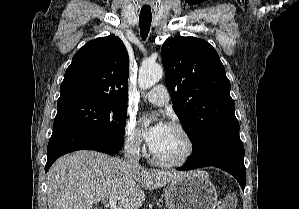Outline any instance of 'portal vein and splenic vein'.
<instances>
[{
  "instance_id": "18ae733b",
  "label": "portal vein and splenic vein",
  "mask_w": 299,
  "mask_h": 209,
  "mask_svg": "<svg viewBox=\"0 0 299 209\" xmlns=\"http://www.w3.org/2000/svg\"><path fill=\"white\" fill-rule=\"evenodd\" d=\"M117 200H118V196L116 195H112L109 198L110 209H122L120 206H117Z\"/></svg>"
}]
</instances>
